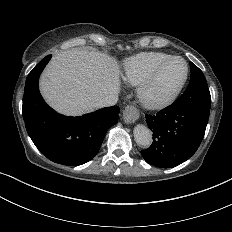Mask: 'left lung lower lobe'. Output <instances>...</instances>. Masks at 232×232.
Returning <instances> with one entry per match:
<instances>
[{"instance_id":"0a47b994","label":"left lung lower lobe","mask_w":232,"mask_h":232,"mask_svg":"<svg viewBox=\"0 0 232 232\" xmlns=\"http://www.w3.org/2000/svg\"><path fill=\"white\" fill-rule=\"evenodd\" d=\"M209 115L174 103L156 115H146L153 143L142 150L143 158L160 168L175 167L194 155L208 123Z\"/></svg>"}]
</instances>
